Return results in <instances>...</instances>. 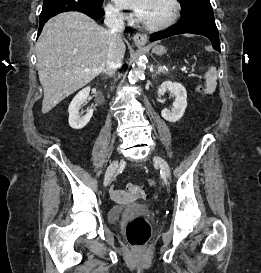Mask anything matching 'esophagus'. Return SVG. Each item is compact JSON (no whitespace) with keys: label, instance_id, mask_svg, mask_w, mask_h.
<instances>
[{"label":"esophagus","instance_id":"34e87169","mask_svg":"<svg viewBox=\"0 0 261 273\" xmlns=\"http://www.w3.org/2000/svg\"><path fill=\"white\" fill-rule=\"evenodd\" d=\"M133 41L136 45H145L147 43V36L141 33H136L133 36Z\"/></svg>","mask_w":261,"mask_h":273}]
</instances>
